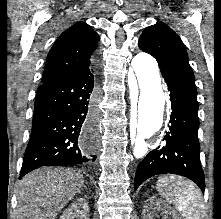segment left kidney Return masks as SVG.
<instances>
[{
	"instance_id": "obj_1",
	"label": "left kidney",
	"mask_w": 221,
	"mask_h": 219,
	"mask_svg": "<svg viewBox=\"0 0 221 219\" xmlns=\"http://www.w3.org/2000/svg\"><path fill=\"white\" fill-rule=\"evenodd\" d=\"M161 212L164 219H179L174 210L168 206L163 200L156 197L149 198L144 206V219H153L156 213Z\"/></svg>"
}]
</instances>
